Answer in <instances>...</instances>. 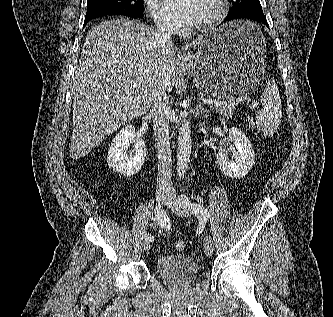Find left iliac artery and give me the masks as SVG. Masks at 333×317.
I'll return each instance as SVG.
<instances>
[{"label": "left iliac artery", "instance_id": "1", "mask_svg": "<svg viewBox=\"0 0 333 317\" xmlns=\"http://www.w3.org/2000/svg\"><path fill=\"white\" fill-rule=\"evenodd\" d=\"M179 202L201 220H207L210 217L207 208L203 205L192 203L186 195H180Z\"/></svg>", "mask_w": 333, "mask_h": 317}]
</instances>
